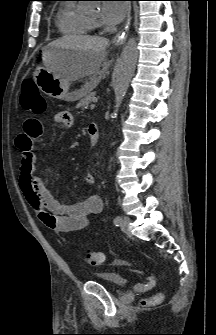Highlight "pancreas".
<instances>
[{
  "label": "pancreas",
  "mask_w": 216,
  "mask_h": 335,
  "mask_svg": "<svg viewBox=\"0 0 216 335\" xmlns=\"http://www.w3.org/2000/svg\"><path fill=\"white\" fill-rule=\"evenodd\" d=\"M91 86L90 85H85L82 88L83 94H82V98L80 100V102L77 104L76 108H82V109H86L89 105L90 102L94 101V97H95V92L91 91Z\"/></svg>",
  "instance_id": "1"
}]
</instances>
